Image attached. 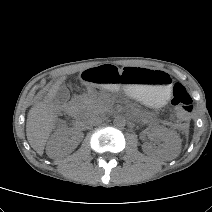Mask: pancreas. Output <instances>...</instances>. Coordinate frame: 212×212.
<instances>
[{"instance_id": "1", "label": "pancreas", "mask_w": 212, "mask_h": 212, "mask_svg": "<svg viewBox=\"0 0 212 212\" xmlns=\"http://www.w3.org/2000/svg\"><path fill=\"white\" fill-rule=\"evenodd\" d=\"M75 102L82 111H96L105 107L104 100L95 96L80 95Z\"/></svg>"}]
</instances>
